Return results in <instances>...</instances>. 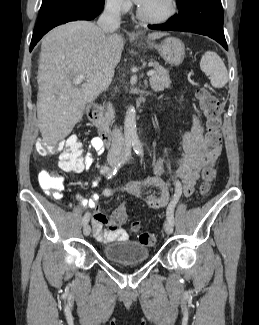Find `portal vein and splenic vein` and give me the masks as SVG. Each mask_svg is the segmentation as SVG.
I'll use <instances>...</instances> for the list:
<instances>
[{"label":"portal vein and splenic vein","mask_w":259,"mask_h":325,"mask_svg":"<svg viewBox=\"0 0 259 325\" xmlns=\"http://www.w3.org/2000/svg\"><path fill=\"white\" fill-rule=\"evenodd\" d=\"M153 74H154V70H149L147 73L148 76H152ZM84 79H85L84 75H77V76L73 77V81L75 84L81 83Z\"/></svg>","instance_id":"18ae733b"}]
</instances>
